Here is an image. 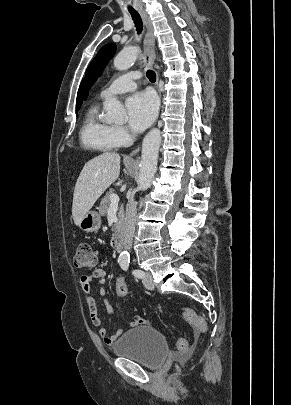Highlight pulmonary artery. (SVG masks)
I'll return each instance as SVG.
<instances>
[{
    "label": "pulmonary artery",
    "mask_w": 291,
    "mask_h": 405,
    "mask_svg": "<svg viewBox=\"0 0 291 405\" xmlns=\"http://www.w3.org/2000/svg\"><path fill=\"white\" fill-rule=\"evenodd\" d=\"M140 78L138 72H127L114 79L106 88H104L100 96L101 98H108L117 94L128 91H133L137 88L136 80Z\"/></svg>",
    "instance_id": "pulmonary-artery-1"
}]
</instances>
